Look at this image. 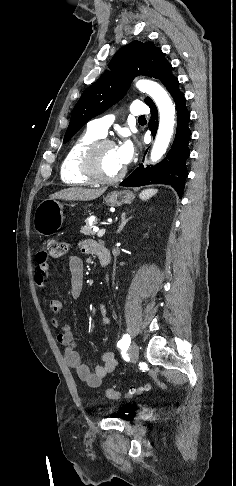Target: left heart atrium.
<instances>
[{
    "instance_id": "left-heart-atrium-1",
    "label": "left heart atrium",
    "mask_w": 236,
    "mask_h": 486,
    "mask_svg": "<svg viewBox=\"0 0 236 486\" xmlns=\"http://www.w3.org/2000/svg\"><path fill=\"white\" fill-rule=\"evenodd\" d=\"M116 148L120 162L123 166L127 165L131 161L135 153L133 144L131 143V141L125 140Z\"/></svg>"
}]
</instances>
